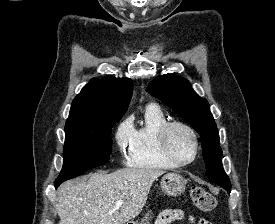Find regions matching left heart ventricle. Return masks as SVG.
Segmentation results:
<instances>
[{"label":"left heart ventricle","instance_id":"obj_1","mask_svg":"<svg viewBox=\"0 0 275 224\" xmlns=\"http://www.w3.org/2000/svg\"><path fill=\"white\" fill-rule=\"evenodd\" d=\"M172 153L180 160H188L194 154V142L190 134L181 128L173 129L169 137Z\"/></svg>","mask_w":275,"mask_h":224}]
</instances>
